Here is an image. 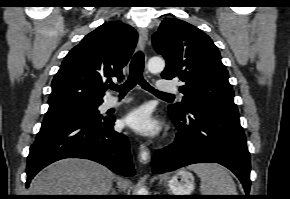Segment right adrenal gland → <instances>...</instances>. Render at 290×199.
<instances>
[{"instance_id": "right-adrenal-gland-1", "label": "right adrenal gland", "mask_w": 290, "mask_h": 199, "mask_svg": "<svg viewBox=\"0 0 290 199\" xmlns=\"http://www.w3.org/2000/svg\"><path fill=\"white\" fill-rule=\"evenodd\" d=\"M110 195H116L115 188H112V189H111V193H110Z\"/></svg>"}]
</instances>
